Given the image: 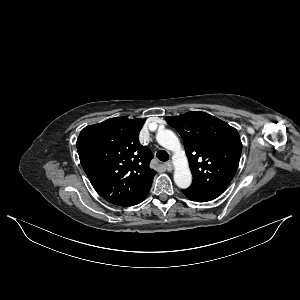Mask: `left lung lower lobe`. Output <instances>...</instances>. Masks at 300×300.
Listing matches in <instances>:
<instances>
[{"label":"left lung lower lobe","instance_id":"obj_1","mask_svg":"<svg viewBox=\"0 0 300 300\" xmlns=\"http://www.w3.org/2000/svg\"><path fill=\"white\" fill-rule=\"evenodd\" d=\"M182 192L192 201L207 202L219 196V194L204 193L191 188L182 190Z\"/></svg>","mask_w":300,"mask_h":300}]
</instances>
